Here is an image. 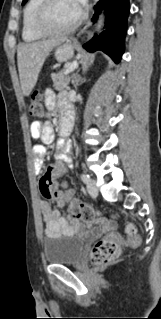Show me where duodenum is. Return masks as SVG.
Here are the masks:
<instances>
[{
    "label": "duodenum",
    "instance_id": "duodenum-1",
    "mask_svg": "<svg viewBox=\"0 0 161 319\" xmlns=\"http://www.w3.org/2000/svg\"><path fill=\"white\" fill-rule=\"evenodd\" d=\"M72 121L69 117H64L60 124V134L64 137L68 136L72 130Z\"/></svg>",
    "mask_w": 161,
    "mask_h": 319
}]
</instances>
